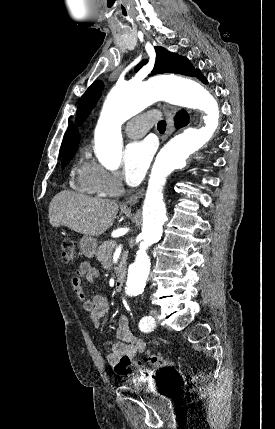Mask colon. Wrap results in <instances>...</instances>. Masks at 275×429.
Masks as SVG:
<instances>
[{"label":"colon","instance_id":"1","mask_svg":"<svg viewBox=\"0 0 275 429\" xmlns=\"http://www.w3.org/2000/svg\"><path fill=\"white\" fill-rule=\"evenodd\" d=\"M76 257H77V252L73 242L69 240H65L62 243V249H61L62 262L65 265H71L75 262ZM147 363L156 369H166L171 365V361L168 358L163 357L161 355H156V354L149 355L147 357ZM131 368L136 369V376L139 378L145 377L148 374L147 370L143 368V366L140 363L135 366H131L130 363L127 362L126 360H123L119 364L117 368V372L120 374H128L131 372Z\"/></svg>","mask_w":275,"mask_h":429}]
</instances>
